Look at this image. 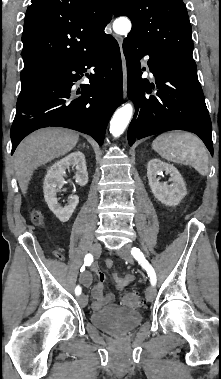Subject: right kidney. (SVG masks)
I'll use <instances>...</instances> for the list:
<instances>
[{"instance_id": "obj_1", "label": "right kidney", "mask_w": 221, "mask_h": 379, "mask_svg": "<svg viewBox=\"0 0 221 379\" xmlns=\"http://www.w3.org/2000/svg\"><path fill=\"white\" fill-rule=\"evenodd\" d=\"M70 167L73 169L75 168L76 170V183L80 186H85L88 183V172L85 156L80 151L73 152L55 162L48 169L43 185L45 201L50 210L61 222H67L71 218L76 206L79 203V197L77 195H71L67 205L63 207L58 203V199L56 197L58 190L64 184L66 169H69Z\"/></svg>"}]
</instances>
